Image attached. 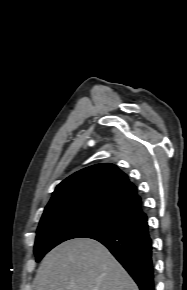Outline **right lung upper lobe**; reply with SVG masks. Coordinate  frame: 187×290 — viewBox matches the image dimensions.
I'll list each match as a JSON object with an SVG mask.
<instances>
[{
  "label": "right lung upper lobe",
  "mask_w": 187,
  "mask_h": 290,
  "mask_svg": "<svg viewBox=\"0 0 187 290\" xmlns=\"http://www.w3.org/2000/svg\"><path fill=\"white\" fill-rule=\"evenodd\" d=\"M140 202L135 186L125 173L110 163L97 164L62 181L53 192L43 216L74 207L99 206L135 223L146 217Z\"/></svg>",
  "instance_id": "obj_1"
}]
</instances>
